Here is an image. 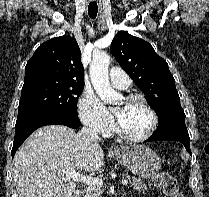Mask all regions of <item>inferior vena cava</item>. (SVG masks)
Wrapping results in <instances>:
<instances>
[{"mask_svg": "<svg viewBox=\"0 0 209 197\" xmlns=\"http://www.w3.org/2000/svg\"><path fill=\"white\" fill-rule=\"evenodd\" d=\"M80 134L85 135V136H89L93 141H96V142L100 141V137L98 136V133L96 132V130H92L87 127H83L81 129Z\"/></svg>", "mask_w": 209, "mask_h": 197, "instance_id": "1", "label": "inferior vena cava"}]
</instances>
